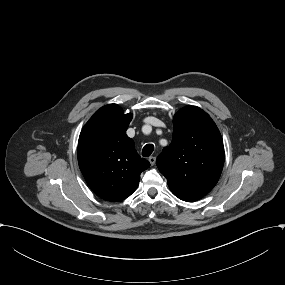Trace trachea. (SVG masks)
Wrapping results in <instances>:
<instances>
[{"mask_svg":"<svg viewBox=\"0 0 285 285\" xmlns=\"http://www.w3.org/2000/svg\"><path fill=\"white\" fill-rule=\"evenodd\" d=\"M154 150V146L153 144H147L144 146V148L142 149V156L144 157H148L152 154Z\"/></svg>","mask_w":285,"mask_h":285,"instance_id":"obj_1","label":"trachea"}]
</instances>
